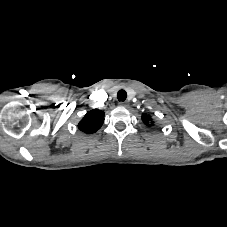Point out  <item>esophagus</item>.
<instances>
[{
	"mask_svg": "<svg viewBox=\"0 0 227 227\" xmlns=\"http://www.w3.org/2000/svg\"><path fill=\"white\" fill-rule=\"evenodd\" d=\"M119 105H120L121 107H126V106H127L125 102H120Z\"/></svg>",
	"mask_w": 227,
	"mask_h": 227,
	"instance_id": "obj_1",
	"label": "esophagus"
}]
</instances>
